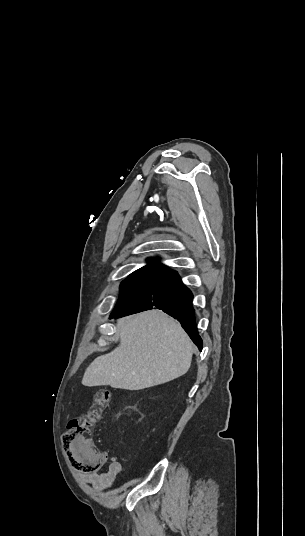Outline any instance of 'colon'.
Here are the masks:
<instances>
[{
  "mask_svg": "<svg viewBox=\"0 0 305 536\" xmlns=\"http://www.w3.org/2000/svg\"><path fill=\"white\" fill-rule=\"evenodd\" d=\"M110 392L99 390L88 412L70 422L67 435H62L60 443L66 454L70 471H107L108 462L102 460L101 449L96 446L91 434L109 404Z\"/></svg>",
  "mask_w": 305,
  "mask_h": 536,
  "instance_id": "obj_1",
  "label": "colon"
}]
</instances>
